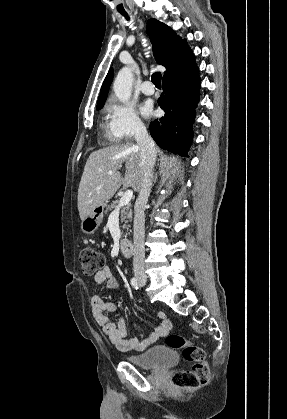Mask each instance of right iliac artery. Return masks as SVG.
<instances>
[{"label": "right iliac artery", "mask_w": 287, "mask_h": 419, "mask_svg": "<svg viewBox=\"0 0 287 419\" xmlns=\"http://www.w3.org/2000/svg\"><path fill=\"white\" fill-rule=\"evenodd\" d=\"M131 285L135 288L138 289L139 288V284L136 278H132L130 281Z\"/></svg>", "instance_id": "obj_1"}]
</instances>
